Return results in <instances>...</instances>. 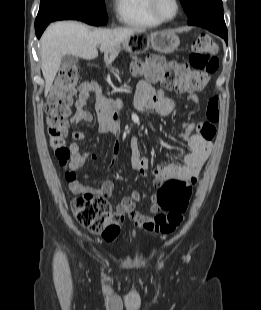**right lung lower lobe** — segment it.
<instances>
[{
    "label": "right lung lower lobe",
    "mask_w": 261,
    "mask_h": 310,
    "mask_svg": "<svg viewBox=\"0 0 261 310\" xmlns=\"http://www.w3.org/2000/svg\"><path fill=\"white\" fill-rule=\"evenodd\" d=\"M48 24L49 23L41 25V26L35 28L36 36H37L38 39L41 37L43 31L45 30V28L47 27Z\"/></svg>",
    "instance_id": "right-lung-lower-lobe-1"
}]
</instances>
